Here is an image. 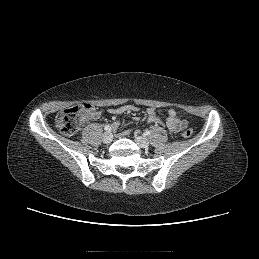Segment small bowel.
Masks as SVG:
<instances>
[{"instance_id":"c3829d8e","label":"small bowel","mask_w":259,"mask_h":259,"mask_svg":"<svg viewBox=\"0 0 259 259\" xmlns=\"http://www.w3.org/2000/svg\"><path fill=\"white\" fill-rule=\"evenodd\" d=\"M139 108L133 104H125L122 106L114 107L109 109V113L112 115H121L125 113L137 112ZM148 121L150 123L159 124L165 126L170 132L177 133L187 126V122L182 120L174 108H170L167 113V118L162 119L158 109L149 108L148 111ZM101 116L100 111H95L90 114L89 119H98ZM115 128L118 127V124L114 125Z\"/></svg>"}]
</instances>
